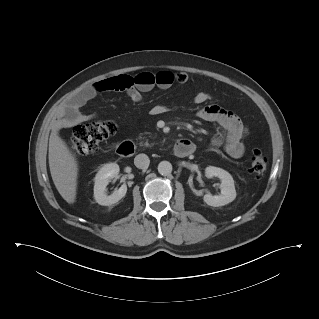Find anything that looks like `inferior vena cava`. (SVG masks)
I'll use <instances>...</instances> for the list:
<instances>
[{
  "label": "inferior vena cava",
  "instance_id": "1",
  "mask_svg": "<svg viewBox=\"0 0 319 319\" xmlns=\"http://www.w3.org/2000/svg\"><path fill=\"white\" fill-rule=\"evenodd\" d=\"M134 164L137 168L147 169L150 164L149 157L146 154H138L134 159Z\"/></svg>",
  "mask_w": 319,
  "mask_h": 319
}]
</instances>
